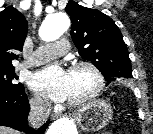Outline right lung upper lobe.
<instances>
[{"mask_svg": "<svg viewBox=\"0 0 153 134\" xmlns=\"http://www.w3.org/2000/svg\"><path fill=\"white\" fill-rule=\"evenodd\" d=\"M27 29L25 17L14 7L0 12V68L13 66L12 60L18 58L13 51H22Z\"/></svg>", "mask_w": 153, "mask_h": 134, "instance_id": "cb5924a9", "label": "right lung upper lobe"}]
</instances>
